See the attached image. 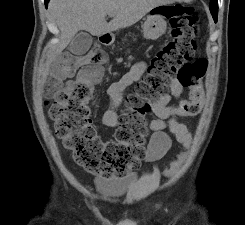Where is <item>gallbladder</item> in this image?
I'll use <instances>...</instances> for the list:
<instances>
[{"label":"gallbladder","mask_w":245,"mask_h":225,"mask_svg":"<svg viewBox=\"0 0 245 225\" xmlns=\"http://www.w3.org/2000/svg\"><path fill=\"white\" fill-rule=\"evenodd\" d=\"M93 42L92 36L84 31L76 34L69 43L68 50L77 56L84 55L91 47Z\"/></svg>","instance_id":"gallbladder-1"}]
</instances>
